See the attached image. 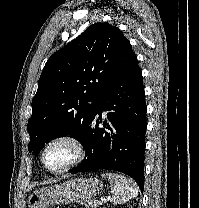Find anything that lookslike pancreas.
<instances>
[{"mask_svg":"<svg viewBox=\"0 0 199 208\" xmlns=\"http://www.w3.org/2000/svg\"><path fill=\"white\" fill-rule=\"evenodd\" d=\"M84 205H85L86 207H91V208H96V207H97V203H96L95 200H89L88 203H87V204L84 203Z\"/></svg>","mask_w":199,"mask_h":208,"instance_id":"pancreas-1","label":"pancreas"}]
</instances>
